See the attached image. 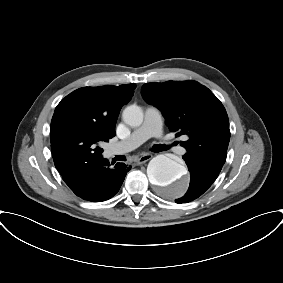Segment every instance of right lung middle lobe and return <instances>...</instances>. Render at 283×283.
<instances>
[{
  "label": "right lung middle lobe",
  "mask_w": 283,
  "mask_h": 283,
  "mask_svg": "<svg viewBox=\"0 0 283 283\" xmlns=\"http://www.w3.org/2000/svg\"><path fill=\"white\" fill-rule=\"evenodd\" d=\"M102 141L108 142V139L95 132L71 131L70 149L74 163H81L89 158L100 156L103 149L99 147V144Z\"/></svg>",
  "instance_id": "1"
}]
</instances>
